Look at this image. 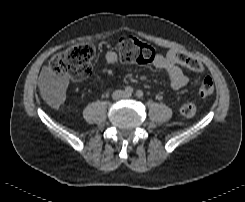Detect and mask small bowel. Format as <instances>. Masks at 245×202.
Returning a JSON list of instances; mask_svg holds the SVG:
<instances>
[{"label":"small bowel","instance_id":"1","mask_svg":"<svg viewBox=\"0 0 245 202\" xmlns=\"http://www.w3.org/2000/svg\"><path fill=\"white\" fill-rule=\"evenodd\" d=\"M178 52L176 49H170L166 54L157 53L156 58L151 62L153 67L164 70L168 74L170 84L176 90L183 88L188 83L187 76L177 65L176 54ZM104 60L108 66H114L118 62V54L113 50H109L105 53ZM54 87L67 91L69 83L64 78L54 76L45 67L42 72L41 90L46 91Z\"/></svg>","mask_w":245,"mask_h":202}]
</instances>
